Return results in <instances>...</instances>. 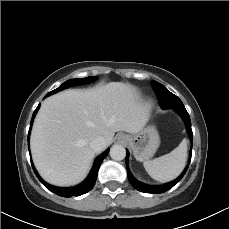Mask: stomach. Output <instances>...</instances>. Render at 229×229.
Returning <instances> with one entry per match:
<instances>
[{"instance_id":"stomach-1","label":"stomach","mask_w":229,"mask_h":229,"mask_svg":"<svg viewBox=\"0 0 229 229\" xmlns=\"http://www.w3.org/2000/svg\"><path fill=\"white\" fill-rule=\"evenodd\" d=\"M127 144L138 161L148 160L160 145V137L154 126L144 127L136 134L127 135Z\"/></svg>"}]
</instances>
